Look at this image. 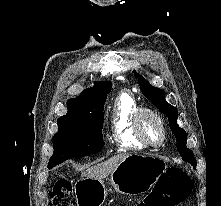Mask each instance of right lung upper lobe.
Segmentation results:
<instances>
[{
    "label": "right lung upper lobe",
    "mask_w": 221,
    "mask_h": 206,
    "mask_svg": "<svg viewBox=\"0 0 221 206\" xmlns=\"http://www.w3.org/2000/svg\"><path fill=\"white\" fill-rule=\"evenodd\" d=\"M111 90V83L104 81L94 83V87L84 90L78 97L68 100L67 114L88 112L104 108L107 94Z\"/></svg>",
    "instance_id": "cb5924a9"
}]
</instances>
